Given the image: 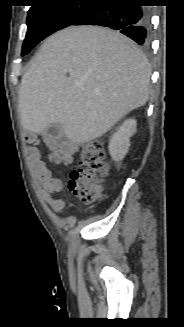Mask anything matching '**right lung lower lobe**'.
<instances>
[{"instance_id":"98d812e1","label":"right lung lower lobe","mask_w":184,"mask_h":327,"mask_svg":"<svg viewBox=\"0 0 184 327\" xmlns=\"http://www.w3.org/2000/svg\"><path fill=\"white\" fill-rule=\"evenodd\" d=\"M140 0H94L72 25H97L119 30L139 45H148L150 21L148 9Z\"/></svg>"}]
</instances>
